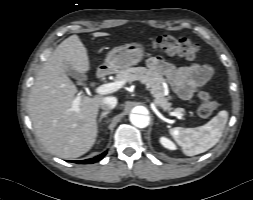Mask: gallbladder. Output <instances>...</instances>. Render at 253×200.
<instances>
[{"label": "gallbladder", "instance_id": "gallbladder-1", "mask_svg": "<svg viewBox=\"0 0 253 200\" xmlns=\"http://www.w3.org/2000/svg\"><path fill=\"white\" fill-rule=\"evenodd\" d=\"M66 73H67L69 76H71V77H73V78H76V79H78V80H80V81L86 79L85 74L77 72V71H76L75 69H73L71 66H67V68H66Z\"/></svg>", "mask_w": 253, "mask_h": 200}]
</instances>
